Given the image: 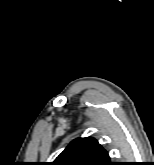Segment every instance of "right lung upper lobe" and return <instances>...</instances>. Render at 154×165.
<instances>
[{
	"label": "right lung upper lobe",
	"mask_w": 154,
	"mask_h": 165,
	"mask_svg": "<svg viewBox=\"0 0 154 165\" xmlns=\"http://www.w3.org/2000/svg\"><path fill=\"white\" fill-rule=\"evenodd\" d=\"M53 163L54 165H112L106 150L91 137L72 141Z\"/></svg>",
	"instance_id": "right-lung-upper-lobe-1"
}]
</instances>
